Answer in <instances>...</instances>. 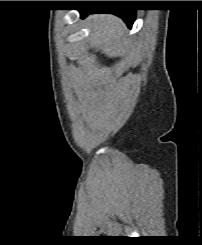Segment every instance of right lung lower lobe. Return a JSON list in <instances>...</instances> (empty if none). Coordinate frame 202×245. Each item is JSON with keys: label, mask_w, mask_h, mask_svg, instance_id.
I'll return each mask as SVG.
<instances>
[{"label": "right lung lower lobe", "mask_w": 202, "mask_h": 245, "mask_svg": "<svg viewBox=\"0 0 202 245\" xmlns=\"http://www.w3.org/2000/svg\"><path fill=\"white\" fill-rule=\"evenodd\" d=\"M81 17L84 18L90 13H112L116 16L122 18L124 22L128 25L129 28L132 27V24L135 20L136 10L131 9H91V10H79Z\"/></svg>", "instance_id": "1"}]
</instances>
